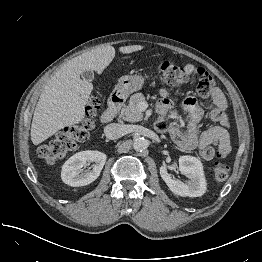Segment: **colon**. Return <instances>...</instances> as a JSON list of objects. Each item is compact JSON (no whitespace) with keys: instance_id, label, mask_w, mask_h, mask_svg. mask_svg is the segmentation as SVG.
I'll return each mask as SVG.
<instances>
[{"instance_id":"1","label":"colon","mask_w":262,"mask_h":262,"mask_svg":"<svg viewBox=\"0 0 262 262\" xmlns=\"http://www.w3.org/2000/svg\"><path fill=\"white\" fill-rule=\"evenodd\" d=\"M158 70L160 81L166 85L179 87L189 81L185 69L170 62H160L158 64ZM99 104V98L92 96L88 102L87 118L79 125L66 129L55 140L41 145L38 148V155L45 162L53 164L56 161L65 158L71 151L75 150L79 142L86 137L89 130L92 128V118L95 116ZM226 156L227 153L224 151L219 153V160H217L213 165V174L218 181L226 180L230 174V166L221 160Z\"/></svg>"}]
</instances>
